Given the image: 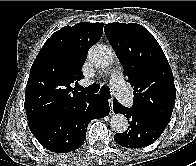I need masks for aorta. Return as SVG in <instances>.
I'll list each match as a JSON object with an SVG mask.
<instances>
[{
    "instance_id": "aorta-1",
    "label": "aorta",
    "mask_w": 196,
    "mask_h": 166,
    "mask_svg": "<svg viewBox=\"0 0 196 166\" xmlns=\"http://www.w3.org/2000/svg\"><path fill=\"white\" fill-rule=\"evenodd\" d=\"M88 58L96 67L105 68L113 62L114 52L106 45L95 44L90 48ZM128 125V120L123 114H114L110 119V127L116 133L125 132Z\"/></svg>"
}]
</instances>
